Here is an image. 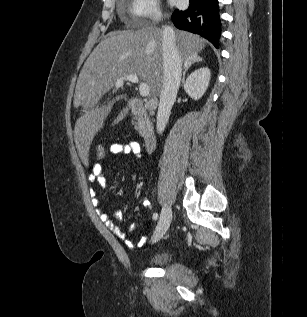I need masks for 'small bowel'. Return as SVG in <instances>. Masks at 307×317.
<instances>
[{
  "instance_id": "c3829d8e",
  "label": "small bowel",
  "mask_w": 307,
  "mask_h": 317,
  "mask_svg": "<svg viewBox=\"0 0 307 317\" xmlns=\"http://www.w3.org/2000/svg\"><path fill=\"white\" fill-rule=\"evenodd\" d=\"M110 152L114 155H133L135 157H142V148L141 145L136 141H130L126 143H114L110 146ZM89 180L93 183H97L102 189L107 187V179L104 167L100 163H95L92 166V171L89 176ZM95 206L99 205V200L95 197L93 200ZM97 212L103 222L116 234V236L123 240L127 247L134 248L135 243L127 238L125 232L121 231L113 222V220H121L123 217L122 211L118 210L113 213H108L102 211L100 208L97 209ZM146 242V239L143 238L139 245H143Z\"/></svg>"
}]
</instances>
